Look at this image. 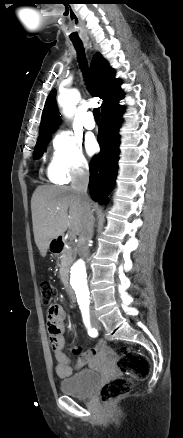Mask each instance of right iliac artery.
<instances>
[{
  "instance_id": "right-iliac-artery-1",
  "label": "right iliac artery",
  "mask_w": 183,
  "mask_h": 438,
  "mask_svg": "<svg viewBox=\"0 0 183 438\" xmlns=\"http://www.w3.org/2000/svg\"><path fill=\"white\" fill-rule=\"evenodd\" d=\"M81 312H82L83 322H84L85 326L87 327L89 336L96 337L98 335V332L95 328H92L90 325L89 309L83 308V309H81Z\"/></svg>"
}]
</instances>
